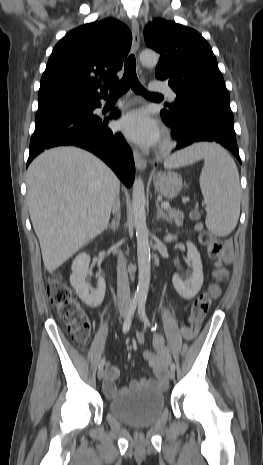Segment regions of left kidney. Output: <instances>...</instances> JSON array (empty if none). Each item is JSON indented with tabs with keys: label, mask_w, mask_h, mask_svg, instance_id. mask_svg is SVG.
<instances>
[{
	"label": "left kidney",
	"mask_w": 263,
	"mask_h": 465,
	"mask_svg": "<svg viewBox=\"0 0 263 465\" xmlns=\"http://www.w3.org/2000/svg\"><path fill=\"white\" fill-rule=\"evenodd\" d=\"M177 237L171 234H168L165 237L166 242L175 240ZM187 258L191 262L193 269L192 276L189 280H182L179 277V274H174L172 278V283L178 294L184 299H191L196 296L200 291L203 284V267L201 262L200 253L198 252L196 246L187 242Z\"/></svg>",
	"instance_id": "left-kidney-1"
}]
</instances>
